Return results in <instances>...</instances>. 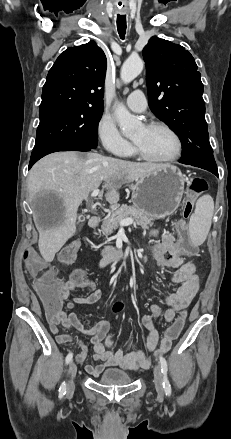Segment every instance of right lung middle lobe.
<instances>
[{
    "mask_svg": "<svg viewBox=\"0 0 231 439\" xmlns=\"http://www.w3.org/2000/svg\"><path fill=\"white\" fill-rule=\"evenodd\" d=\"M103 108H75L56 111L40 117L33 150L62 145H80L95 149L98 123Z\"/></svg>",
    "mask_w": 231,
    "mask_h": 439,
    "instance_id": "right-lung-middle-lobe-1",
    "label": "right lung middle lobe"
}]
</instances>
